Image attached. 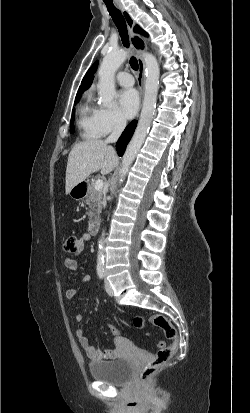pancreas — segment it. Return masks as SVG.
Returning <instances> with one entry per match:
<instances>
[{"label":"pancreas","mask_w":250,"mask_h":413,"mask_svg":"<svg viewBox=\"0 0 250 413\" xmlns=\"http://www.w3.org/2000/svg\"><path fill=\"white\" fill-rule=\"evenodd\" d=\"M102 197L103 191L95 189V182H90L88 184V194L86 199V204L89 206L90 211L88 212L89 224H93L99 218L102 209Z\"/></svg>","instance_id":"1"}]
</instances>
